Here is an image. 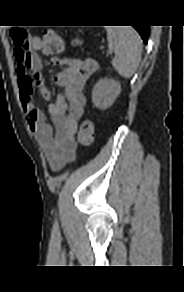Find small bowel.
Returning <instances> with one entry per match:
<instances>
[{
    "label": "small bowel",
    "mask_w": 184,
    "mask_h": 292,
    "mask_svg": "<svg viewBox=\"0 0 184 292\" xmlns=\"http://www.w3.org/2000/svg\"><path fill=\"white\" fill-rule=\"evenodd\" d=\"M40 47V39L32 37L29 39L26 57L21 59L15 54L19 95L31 131L43 148L50 168L58 171L75 159L77 122L85 107L83 88L97 70L98 64L92 59L68 56L51 59V63L61 69L55 82L64 92L48 106L52 119V124H49L45 114L32 102L35 87L44 100L49 101L51 98L40 73L43 65L36 53Z\"/></svg>",
    "instance_id": "obj_1"
}]
</instances>
